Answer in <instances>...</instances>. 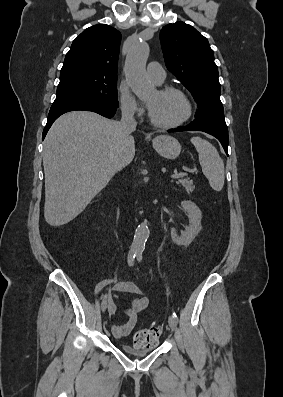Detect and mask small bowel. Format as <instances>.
<instances>
[{
    "mask_svg": "<svg viewBox=\"0 0 283 397\" xmlns=\"http://www.w3.org/2000/svg\"><path fill=\"white\" fill-rule=\"evenodd\" d=\"M111 290L115 295L114 297L109 296L108 299V313L110 317L115 316L117 312V302L120 300L119 294L125 293L131 295L122 308L128 320L124 324H114L111 329L113 336L121 339L132 332L137 323L138 314L148 307L149 299L144 295L143 289L131 281L116 282L112 285Z\"/></svg>",
    "mask_w": 283,
    "mask_h": 397,
    "instance_id": "c3829d8e",
    "label": "small bowel"
}]
</instances>
